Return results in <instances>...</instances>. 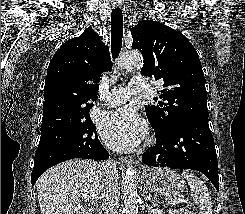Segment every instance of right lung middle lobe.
I'll use <instances>...</instances> for the list:
<instances>
[{"label":"right lung middle lobe","mask_w":245,"mask_h":214,"mask_svg":"<svg viewBox=\"0 0 245 214\" xmlns=\"http://www.w3.org/2000/svg\"><path fill=\"white\" fill-rule=\"evenodd\" d=\"M97 138L94 124L87 113L55 128L41 130L39 146L54 145L62 147L64 151L79 153L88 151L89 147L97 142ZM35 160L40 161L43 166H48L56 162L58 157H44V153L37 150Z\"/></svg>","instance_id":"right-lung-middle-lobe-1"}]
</instances>
